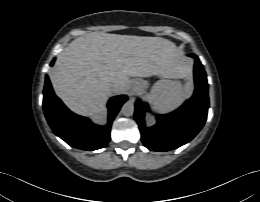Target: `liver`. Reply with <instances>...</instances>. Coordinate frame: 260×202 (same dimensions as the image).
<instances>
[{"label": "liver", "instance_id": "obj_1", "mask_svg": "<svg viewBox=\"0 0 260 202\" xmlns=\"http://www.w3.org/2000/svg\"><path fill=\"white\" fill-rule=\"evenodd\" d=\"M187 71L174 43L167 39L93 32L63 49L50 80L69 109L98 117L112 92L129 89V77L168 78ZM112 84L118 89L112 90Z\"/></svg>", "mask_w": 260, "mask_h": 202}]
</instances>
